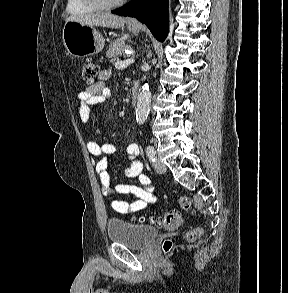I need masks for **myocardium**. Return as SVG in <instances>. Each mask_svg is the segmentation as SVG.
Here are the masks:
<instances>
[{
  "mask_svg": "<svg viewBox=\"0 0 288 293\" xmlns=\"http://www.w3.org/2000/svg\"><path fill=\"white\" fill-rule=\"evenodd\" d=\"M99 8H112L123 4L126 0H87Z\"/></svg>",
  "mask_w": 288,
  "mask_h": 293,
  "instance_id": "f54148a6",
  "label": "myocardium"
}]
</instances>
